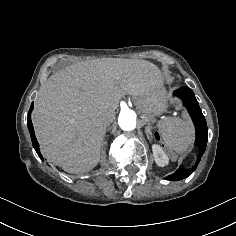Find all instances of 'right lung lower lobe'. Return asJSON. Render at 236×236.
<instances>
[{"mask_svg": "<svg viewBox=\"0 0 236 236\" xmlns=\"http://www.w3.org/2000/svg\"><path fill=\"white\" fill-rule=\"evenodd\" d=\"M32 110H33V103L31 104V107H30V110H29V113H28V122H27L28 129H29V132H30V135H31L33 147L36 150V152L38 153L39 157L43 160V157H42V155L40 153V150H39V144L36 140L33 125H32V122H31V112H32Z\"/></svg>", "mask_w": 236, "mask_h": 236, "instance_id": "obj_1", "label": "right lung lower lobe"}]
</instances>
